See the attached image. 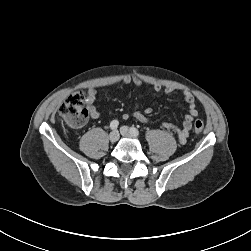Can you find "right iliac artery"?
<instances>
[{
  "mask_svg": "<svg viewBox=\"0 0 251 251\" xmlns=\"http://www.w3.org/2000/svg\"><path fill=\"white\" fill-rule=\"evenodd\" d=\"M118 125H119V122H118L117 120H113V121L110 123V128H111L112 130H115V129H117Z\"/></svg>",
  "mask_w": 251,
  "mask_h": 251,
  "instance_id": "82829eb1",
  "label": "right iliac artery"
}]
</instances>
